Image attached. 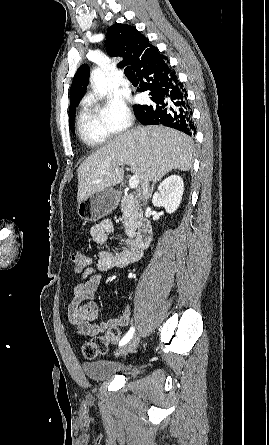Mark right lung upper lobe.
<instances>
[{
	"label": "right lung upper lobe",
	"mask_w": 269,
	"mask_h": 445,
	"mask_svg": "<svg viewBox=\"0 0 269 445\" xmlns=\"http://www.w3.org/2000/svg\"><path fill=\"white\" fill-rule=\"evenodd\" d=\"M106 50L111 56L123 57L118 67L130 64L137 72L150 61L161 56L158 49L134 26L114 24L107 30ZM89 67L86 64L77 70L70 93V107L78 104L88 85Z\"/></svg>",
	"instance_id": "obj_1"
}]
</instances>
